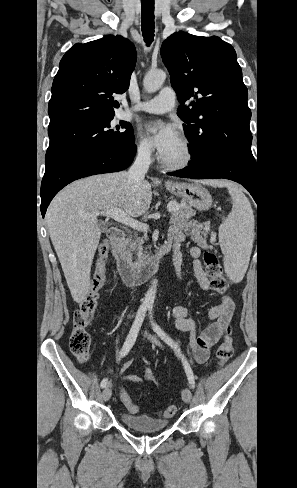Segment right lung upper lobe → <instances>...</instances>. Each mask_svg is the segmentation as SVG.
<instances>
[{
    "label": "right lung upper lobe",
    "mask_w": 297,
    "mask_h": 488,
    "mask_svg": "<svg viewBox=\"0 0 297 488\" xmlns=\"http://www.w3.org/2000/svg\"><path fill=\"white\" fill-rule=\"evenodd\" d=\"M136 62L134 45L121 36L75 44L62 57L48 104V133L115 115Z\"/></svg>",
    "instance_id": "obj_1"
}]
</instances>
